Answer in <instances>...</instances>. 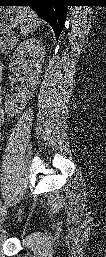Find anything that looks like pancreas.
Wrapping results in <instances>:
<instances>
[{
    "mask_svg": "<svg viewBox=\"0 0 106 257\" xmlns=\"http://www.w3.org/2000/svg\"><path fill=\"white\" fill-rule=\"evenodd\" d=\"M17 41L18 39L14 37H2L0 40V53L8 54L15 47Z\"/></svg>",
    "mask_w": 106,
    "mask_h": 257,
    "instance_id": "1",
    "label": "pancreas"
}]
</instances>
